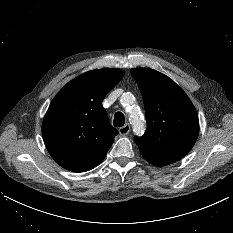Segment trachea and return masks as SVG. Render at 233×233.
I'll use <instances>...</instances> for the list:
<instances>
[{
  "label": "trachea",
  "instance_id": "1",
  "mask_svg": "<svg viewBox=\"0 0 233 233\" xmlns=\"http://www.w3.org/2000/svg\"><path fill=\"white\" fill-rule=\"evenodd\" d=\"M125 123V117L122 112H116L114 115L113 125L115 127H121Z\"/></svg>",
  "mask_w": 233,
  "mask_h": 233
}]
</instances>
